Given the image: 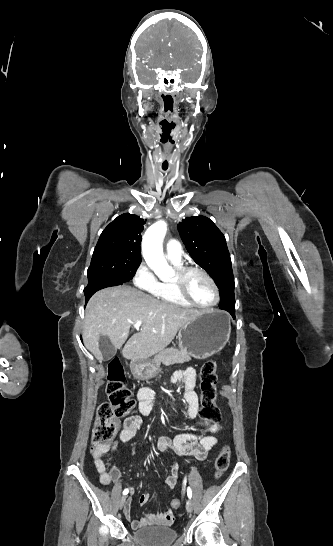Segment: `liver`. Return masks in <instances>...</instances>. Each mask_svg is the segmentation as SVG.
<instances>
[{"label":"liver","mask_w":333,"mask_h":546,"mask_svg":"<svg viewBox=\"0 0 333 546\" xmlns=\"http://www.w3.org/2000/svg\"><path fill=\"white\" fill-rule=\"evenodd\" d=\"M201 313L160 302L134 287H108L96 292L87 304L83 341L102 362L100 337L107 336L115 348H121L132 325L141 320L139 332L125 344L122 355L129 360H147L164 350L180 328Z\"/></svg>","instance_id":"liver-1"}]
</instances>
